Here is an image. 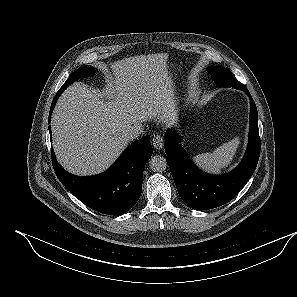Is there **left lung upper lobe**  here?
Here are the masks:
<instances>
[{
  "label": "left lung upper lobe",
  "mask_w": 297,
  "mask_h": 297,
  "mask_svg": "<svg viewBox=\"0 0 297 297\" xmlns=\"http://www.w3.org/2000/svg\"><path fill=\"white\" fill-rule=\"evenodd\" d=\"M206 70L212 76V80L218 86L233 87L239 90L246 88L236 79L231 71L224 67L210 66Z\"/></svg>",
  "instance_id": "obj_1"
}]
</instances>
